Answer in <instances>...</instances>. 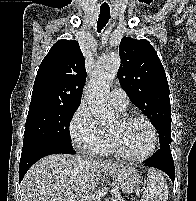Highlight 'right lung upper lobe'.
<instances>
[{"label":"right lung upper lobe","mask_w":196,"mask_h":201,"mask_svg":"<svg viewBox=\"0 0 196 201\" xmlns=\"http://www.w3.org/2000/svg\"><path fill=\"white\" fill-rule=\"evenodd\" d=\"M85 81L84 56L79 43L59 40L39 66L31 102L80 105Z\"/></svg>","instance_id":"obj_1"}]
</instances>
